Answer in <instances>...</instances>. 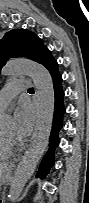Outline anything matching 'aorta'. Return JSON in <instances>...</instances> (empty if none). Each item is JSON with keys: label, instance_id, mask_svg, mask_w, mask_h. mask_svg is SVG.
<instances>
[{"label": "aorta", "instance_id": "obj_1", "mask_svg": "<svg viewBox=\"0 0 89 203\" xmlns=\"http://www.w3.org/2000/svg\"><path fill=\"white\" fill-rule=\"evenodd\" d=\"M2 74L5 76H30L38 97L36 125L31 144L10 183L8 201L9 203H16L48 147L54 114L55 94L51 74L43 65L34 61L11 59L4 66ZM0 120L1 124L4 125L11 120V116L3 113Z\"/></svg>", "mask_w": 89, "mask_h": 203}]
</instances>
